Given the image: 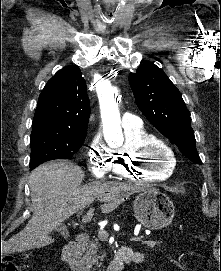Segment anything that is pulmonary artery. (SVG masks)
<instances>
[{
	"label": "pulmonary artery",
	"mask_w": 221,
	"mask_h": 271,
	"mask_svg": "<svg viewBox=\"0 0 221 271\" xmlns=\"http://www.w3.org/2000/svg\"><path fill=\"white\" fill-rule=\"evenodd\" d=\"M130 116V113H127ZM123 122H120V127H143V122H138V117H123ZM127 133H123V138H135V133H140V128H127Z\"/></svg>",
	"instance_id": "e3ab8cb5"
}]
</instances>
